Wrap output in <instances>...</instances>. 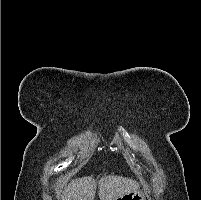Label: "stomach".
I'll return each instance as SVG.
<instances>
[{
    "mask_svg": "<svg viewBox=\"0 0 201 200\" xmlns=\"http://www.w3.org/2000/svg\"><path fill=\"white\" fill-rule=\"evenodd\" d=\"M116 200H145V197L142 191L137 190L118 197Z\"/></svg>",
    "mask_w": 201,
    "mask_h": 200,
    "instance_id": "stomach-1",
    "label": "stomach"
}]
</instances>
